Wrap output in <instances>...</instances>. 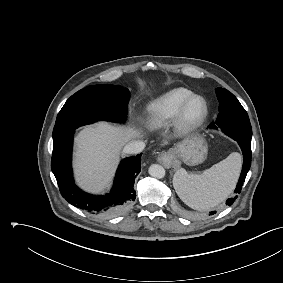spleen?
I'll list each match as a JSON object with an SVG mask.
<instances>
[{"instance_id": "spleen-1", "label": "spleen", "mask_w": 283, "mask_h": 283, "mask_svg": "<svg viewBox=\"0 0 283 283\" xmlns=\"http://www.w3.org/2000/svg\"><path fill=\"white\" fill-rule=\"evenodd\" d=\"M241 169V155L231 153L202 174H188L183 168L174 175L179 198L190 208L208 210L225 200L234 190Z\"/></svg>"}]
</instances>
